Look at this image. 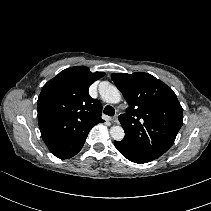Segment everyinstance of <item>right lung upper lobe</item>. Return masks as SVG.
I'll return each mask as SVG.
<instances>
[{"label": "right lung upper lobe", "instance_id": "1", "mask_svg": "<svg viewBox=\"0 0 211 211\" xmlns=\"http://www.w3.org/2000/svg\"><path fill=\"white\" fill-rule=\"evenodd\" d=\"M104 75L75 66L44 85L37 102L38 123L45 144L56 157L68 159L76 155L89 130L104 122L100 101L88 93L90 85Z\"/></svg>", "mask_w": 211, "mask_h": 211}]
</instances>
